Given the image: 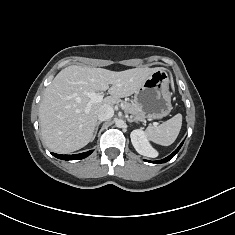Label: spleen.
I'll return each instance as SVG.
<instances>
[{"label": "spleen", "mask_w": 235, "mask_h": 235, "mask_svg": "<svg viewBox=\"0 0 235 235\" xmlns=\"http://www.w3.org/2000/svg\"><path fill=\"white\" fill-rule=\"evenodd\" d=\"M182 126V115L176 114L159 126H150L146 135L152 142L163 146L171 145L177 138Z\"/></svg>", "instance_id": "obj_1"}]
</instances>
